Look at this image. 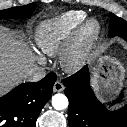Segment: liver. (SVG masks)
<instances>
[{
	"label": "liver",
	"instance_id": "obj_1",
	"mask_svg": "<svg viewBox=\"0 0 127 127\" xmlns=\"http://www.w3.org/2000/svg\"><path fill=\"white\" fill-rule=\"evenodd\" d=\"M34 55L22 39L0 26V96L27 79Z\"/></svg>",
	"mask_w": 127,
	"mask_h": 127
}]
</instances>
